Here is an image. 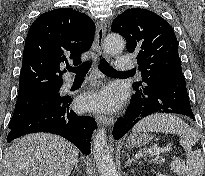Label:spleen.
<instances>
[{
  "instance_id": "1",
  "label": "spleen",
  "mask_w": 205,
  "mask_h": 176,
  "mask_svg": "<svg viewBox=\"0 0 205 176\" xmlns=\"http://www.w3.org/2000/svg\"><path fill=\"white\" fill-rule=\"evenodd\" d=\"M162 132L177 134L187 156L184 173L187 176H202L204 172V158L200 150H192L198 142V133L189 127L182 119L172 114H154L139 121L133 132Z\"/></svg>"
}]
</instances>
